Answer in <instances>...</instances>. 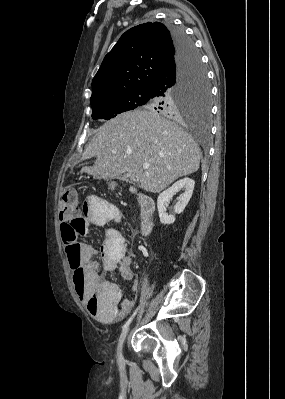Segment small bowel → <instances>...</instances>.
I'll return each instance as SVG.
<instances>
[{"mask_svg":"<svg viewBox=\"0 0 285 399\" xmlns=\"http://www.w3.org/2000/svg\"><path fill=\"white\" fill-rule=\"evenodd\" d=\"M109 207L102 198L90 196L82 203L81 216L85 222V226L80 229V234L87 233L88 228L92 226L101 227L109 222ZM118 218L114 217L116 221ZM107 236L112 240L105 243L102 248L97 249L94 245L88 243H80V260L79 264L84 270L83 288L77 295L85 302L91 315L103 322H112L120 320L130 313L134 307L132 299L121 300V290L117 285L108 280H103L100 273L93 263V258L101 255V260L105 265V271L108 272L117 262V268L122 277L132 282V291L138 290V281L134 278L131 271V258L123 256L117 258L115 256V248L119 243L120 234L118 231L110 230ZM70 265V262H69ZM97 301L100 305L97 306ZM95 302V306H94Z\"/></svg>","mask_w":285,"mask_h":399,"instance_id":"1","label":"small bowel"}]
</instances>
